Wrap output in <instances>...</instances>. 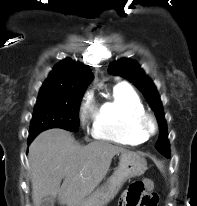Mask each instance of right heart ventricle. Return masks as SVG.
Here are the masks:
<instances>
[{
  "mask_svg": "<svg viewBox=\"0 0 197 206\" xmlns=\"http://www.w3.org/2000/svg\"><path fill=\"white\" fill-rule=\"evenodd\" d=\"M145 112L140 96L128 85L117 84L111 97L101 103L95 114L93 137L123 145H139L147 139L137 125V118Z\"/></svg>",
  "mask_w": 197,
  "mask_h": 206,
  "instance_id": "right-heart-ventricle-1",
  "label": "right heart ventricle"
}]
</instances>
